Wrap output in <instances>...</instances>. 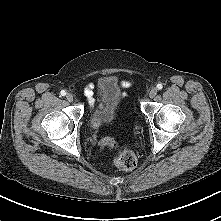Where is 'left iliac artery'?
I'll return each mask as SVG.
<instances>
[{
  "label": "left iliac artery",
  "mask_w": 221,
  "mask_h": 221,
  "mask_svg": "<svg viewBox=\"0 0 221 221\" xmlns=\"http://www.w3.org/2000/svg\"><path fill=\"white\" fill-rule=\"evenodd\" d=\"M158 90H161L163 88L162 84H157Z\"/></svg>",
  "instance_id": "1"
}]
</instances>
